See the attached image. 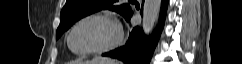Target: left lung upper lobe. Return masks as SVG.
<instances>
[{
	"label": "left lung upper lobe",
	"instance_id": "5c2ea615",
	"mask_svg": "<svg viewBox=\"0 0 242 64\" xmlns=\"http://www.w3.org/2000/svg\"><path fill=\"white\" fill-rule=\"evenodd\" d=\"M119 0H67L60 13V25L56 39L67 31L76 21L99 10L109 9L126 18L130 12L129 4L118 5ZM132 2V0H129Z\"/></svg>",
	"mask_w": 242,
	"mask_h": 64
}]
</instances>
